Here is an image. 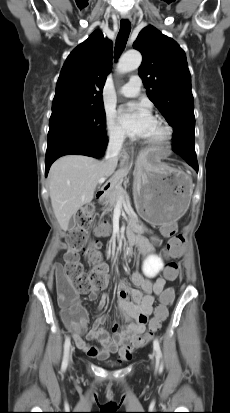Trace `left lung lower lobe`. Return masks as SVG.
Here are the masks:
<instances>
[{
	"instance_id": "left-lung-lower-lobe-1",
	"label": "left lung lower lobe",
	"mask_w": 230,
	"mask_h": 413,
	"mask_svg": "<svg viewBox=\"0 0 230 413\" xmlns=\"http://www.w3.org/2000/svg\"><path fill=\"white\" fill-rule=\"evenodd\" d=\"M186 162L198 172V162L196 155H184L182 156Z\"/></svg>"
}]
</instances>
